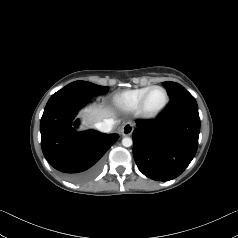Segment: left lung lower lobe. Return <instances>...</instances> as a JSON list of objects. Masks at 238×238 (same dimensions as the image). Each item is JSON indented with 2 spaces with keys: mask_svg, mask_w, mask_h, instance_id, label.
Masks as SVG:
<instances>
[{
  "mask_svg": "<svg viewBox=\"0 0 238 238\" xmlns=\"http://www.w3.org/2000/svg\"><path fill=\"white\" fill-rule=\"evenodd\" d=\"M200 118L195 98L184 91L151 122L137 123L133 131V156L139 170L150 179L178 177L198 148Z\"/></svg>",
  "mask_w": 238,
  "mask_h": 238,
  "instance_id": "left-lung-lower-lobe-1",
  "label": "left lung lower lobe"
}]
</instances>
